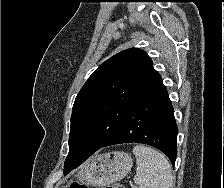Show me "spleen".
Returning <instances> with one entry per match:
<instances>
[{"label": "spleen", "instance_id": "1", "mask_svg": "<svg viewBox=\"0 0 224 188\" xmlns=\"http://www.w3.org/2000/svg\"><path fill=\"white\" fill-rule=\"evenodd\" d=\"M133 153L137 164L134 182L140 188H173L171 165L164 155L142 144L134 146Z\"/></svg>", "mask_w": 224, "mask_h": 188}]
</instances>
